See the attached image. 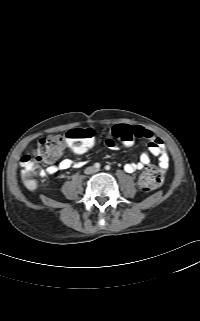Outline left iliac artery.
I'll return each mask as SVG.
<instances>
[{
  "instance_id": "left-iliac-artery-1",
  "label": "left iliac artery",
  "mask_w": 200,
  "mask_h": 321,
  "mask_svg": "<svg viewBox=\"0 0 200 321\" xmlns=\"http://www.w3.org/2000/svg\"><path fill=\"white\" fill-rule=\"evenodd\" d=\"M105 169H106V170H109V169H110V166H109V165H106V166H105Z\"/></svg>"
}]
</instances>
